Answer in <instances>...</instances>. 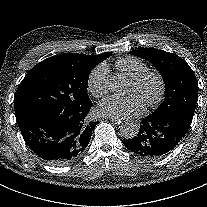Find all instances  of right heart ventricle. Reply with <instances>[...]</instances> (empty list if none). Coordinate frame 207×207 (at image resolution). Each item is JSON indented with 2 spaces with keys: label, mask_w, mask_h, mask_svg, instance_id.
I'll list each match as a JSON object with an SVG mask.
<instances>
[{
  "label": "right heart ventricle",
  "mask_w": 207,
  "mask_h": 207,
  "mask_svg": "<svg viewBox=\"0 0 207 207\" xmlns=\"http://www.w3.org/2000/svg\"><path fill=\"white\" fill-rule=\"evenodd\" d=\"M115 66L130 79H135L148 71V66L135 57H125L116 61Z\"/></svg>",
  "instance_id": "right-heart-ventricle-1"
}]
</instances>
